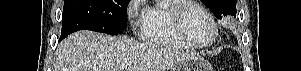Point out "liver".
Instances as JSON below:
<instances>
[{
  "mask_svg": "<svg viewBox=\"0 0 301 71\" xmlns=\"http://www.w3.org/2000/svg\"><path fill=\"white\" fill-rule=\"evenodd\" d=\"M189 56L126 36L79 31L59 45L54 71H168Z\"/></svg>",
  "mask_w": 301,
  "mask_h": 71,
  "instance_id": "1",
  "label": "liver"
}]
</instances>
